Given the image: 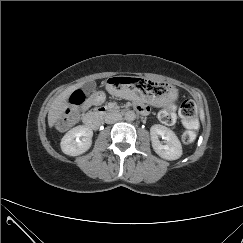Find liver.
Segmentation results:
<instances>
[{"instance_id":"6515ba94","label":"liver","mask_w":243,"mask_h":243,"mask_svg":"<svg viewBox=\"0 0 243 243\" xmlns=\"http://www.w3.org/2000/svg\"><path fill=\"white\" fill-rule=\"evenodd\" d=\"M83 83L75 84L67 89H65L62 93H60L52 102L49 112H48V125L49 127H53L55 123L61 118L62 114L68 108V98L69 96L76 90L79 89Z\"/></svg>"}]
</instances>
